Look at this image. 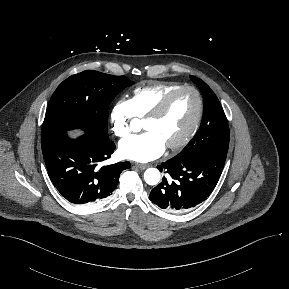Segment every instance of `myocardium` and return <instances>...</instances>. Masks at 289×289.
<instances>
[{"instance_id": "obj_1", "label": "myocardium", "mask_w": 289, "mask_h": 289, "mask_svg": "<svg viewBox=\"0 0 289 289\" xmlns=\"http://www.w3.org/2000/svg\"><path fill=\"white\" fill-rule=\"evenodd\" d=\"M186 90L192 91L196 95L197 104H198L197 112L193 120V123L191 127L189 128V130L186 132V134L179 141L173 144L167 145V148L172 151L179 150L183 148L184 146H186L192 140V138L195 136V134L197 133L199 129V126L203 117V111H204V101H203V97L200 91L196 87L191 86V85L180 86L172 90L171 92H169L144 119V121L159 119L166 112L173 98L178 93L182 91H186Z\"/></svg>"}]
</instances>
